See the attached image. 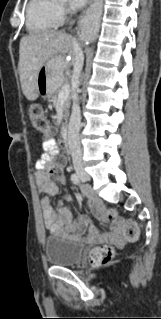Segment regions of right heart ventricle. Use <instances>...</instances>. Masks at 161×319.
<instances>
[{"label":"right heart ventricle","mask_w":161,"mask_h":319,"mask_svg":"<svg viewBox=\"0 0 161 319\" xmlns=\"http://www.w3.org/2000/svg\"><path fill=\"white\" fill-rule=\"evenodd\" d=\"M26 24L32 34L56 28L60 24L58 5L54 0H31L27 5Z\"/></svg>","instance_id":"right-heart-ventricle-1"}]
</instances>
